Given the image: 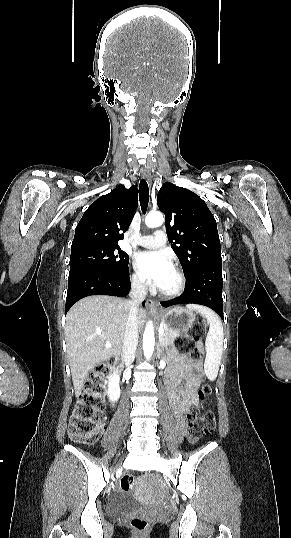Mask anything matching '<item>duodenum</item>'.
Segmentation results:
<instances>
[{
  "mask_svg": "<svg viewBox=\"0 0 291 538\" xmlns=\"http://www.w3.org/2000/svg\"><path fill=\"white\" fill-rule=\"evenodd\" d=\"M116 360H117V361H116V363H114V364L112 365V368H113L114 370L122 369V365H123V357H122L121 355H118V356L116 357ZM110 384H111V386L114 387L116 390H121V389H122L121 381H120V379L117 378V377L112 378L111 381H110Z\"/></svg>",
  "mask_w": 291,
  "mask_h": 538,
  "instance_id": "1",
  "label": "duodenum"
}]
</instances>
